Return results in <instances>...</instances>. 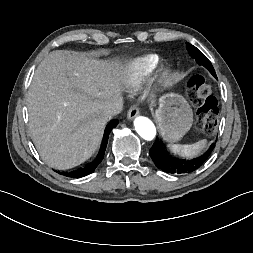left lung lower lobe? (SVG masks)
I'll use <instances>...</instances> for the list:
<instances>
[{
    "label": "left lung lower lobe",
    "mask_w": 253,
    "mask_h": 253,
    "mask_svg": "<svg viewBox=\"0 0 253 253\" xmlns=\"http://www.w3.org/2000/svg\"><path fill=\"white\" fill-rule=\"evenodd\" d=\"M199 65L206 67L209 72L215 77V70L208 59H195ZM215 144L213 143L207 152L203 155L193 159H177L168 155L161 147L159 140L157 139L150 149V156L154 161L156 167L166 173L171 174H189L197 170L211 155Z\"/></svg>",
    "instance_id": "obj_1"
}]
</instances>
